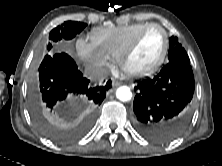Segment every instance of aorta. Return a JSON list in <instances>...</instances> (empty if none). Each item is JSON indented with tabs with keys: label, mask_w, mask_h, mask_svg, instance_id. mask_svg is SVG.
<instances>
[{
	"label": "aorta",
	"mask_w": 222,
	"mask_h": 166,
	"mask_svg": "<svg viewBox=\"0 0 222 166\" xmlns=\"http://www.w3.org/2000/svg\"><path fill=\"white\" fill-rule=\"evenodd\" d=\"M116 97L123 102L129 101L132 98V92L129 87L121 86L116 91Z\"/></svg>",
	"instance_id": "obj_1"
}]
</instances>
